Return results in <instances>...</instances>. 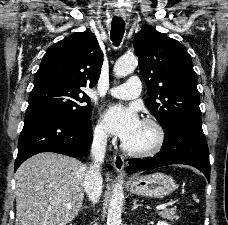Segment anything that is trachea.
Instances as JSON below:
<instances>
[{
    "label": "trachea",
    "instance_id": "3493384b",
    "mask_svg": "<svg viewBox=\"0 0 228 225\" xmlns=\"http://www.w3.org/2000/svg\"><path fill=\"white\" fill-rule=\"evenodd\" d=\"M125 32V22L122 18L113 17L111 25V40L115 46H118L122 41Z\"/></svg>",
    "mask_w": 228,
    "mask_h": 225
}]
</instances>
